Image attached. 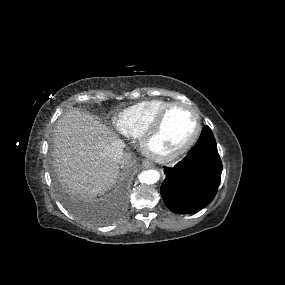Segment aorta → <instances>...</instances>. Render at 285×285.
Instances as JSON below:
<instances>
[{
  "instance_id": "aorta-1",
  "label": "aorta",
  "mask_w": 285,
  "mask_h": 285,
  "mask_svg": "<svg viewBox=\"0 0 285 285\" xmlns=\"http://www.w3.org/2000/svg\"><path fill=\"white\" fill-rule=\"evenodd\" d=\"M159 178H160L159 171L153 169L143 171L138 175L139 182L148 185L156 183L159 180Z\"/></svg>"
}]
</instances>
